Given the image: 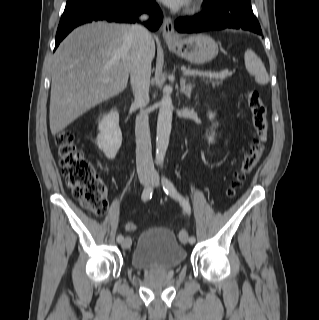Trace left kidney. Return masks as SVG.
Returning a JSON list of instances; mask_svg holds the SVG:
<instances>
[{"mask_svg": "<svg viewBox=\"0 0 319 320\" xmlns=\"http://www.w3.org/2000/svg\"><path fill=\"white\" fill-rule=\"evenodd\" d=\"M208 117H209L210 120H213L214 117H215V113L209 112V113H208ZM214 136H215V132L213 131V132L211 133V135L208 136V142H209V143H213V141H214Z\"/></svg>", "mask_w": 319, "mask_h": 320, "instance_id": "obj_1", "label": "left kidney"}]
</instances>
